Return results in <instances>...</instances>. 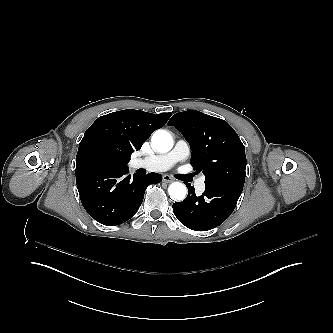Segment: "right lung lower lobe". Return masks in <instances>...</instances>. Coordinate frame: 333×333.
Segmentation results:
<instances>
[{
  "mask_svg": "<svg viewBox=\"0 0 333 333\" xmlns=\"http://www.w3.org/2000/svg\"><path fill=\"white\" fill-rule=\"evenodd\" d=\"M162 176L128 175V167L102 168L85 166L76 169V184L83 207L99 223L122 224L139 209L146 187L160 183Z\"/></svg>",
  "mask_w": 333,
  "mask_h": 333,
  "instance_id": "1",
  "label": "right lung lower lobe"
}]
</instances>
